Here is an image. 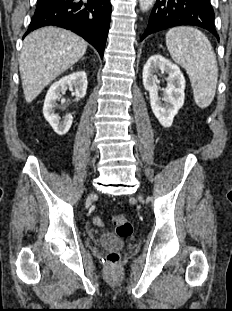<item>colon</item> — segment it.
Instances as JSON below:
<instances>
[{"mask_svg": "<svg viewBox=\"0 0 232 311\" xmlns=\"http://www.w3.org/2000/svg\"><path fill=\"white\" fill-rule=\"evenodd\" d=\"M111 224L117 235L121 237H129L133 232L131 221L124 215H116L113 217ZM107 262L110 266H117L120 262V254L118 252H109L107 254Z\"/></svg>", "mask_w": 232, "mask_h": 311, "instance_id": "5ec220e1", "label": "colon"}]
</instances>
